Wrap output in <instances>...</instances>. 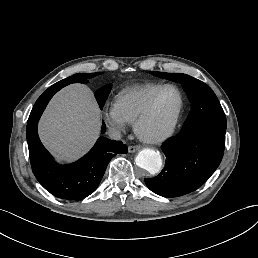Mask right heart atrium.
<instances>
[{
	"label": "right heart atrium",
	"mask_w": 258,
	"mask_h": 258,
	"mask_svg": "<svg viewBox=\"0 0 258 258\" xmlns=\"http://www.w3.org/2000/svg\"><path fill=\"white\" fill-rule=\"evenodd\" d=\"M105 123L113 128L125 129L127 121L122 116L115 104L109 105L103 112Z\"/></svg>",
	"instance_id": "right-heart-atrium-1"
}]
</instances>
